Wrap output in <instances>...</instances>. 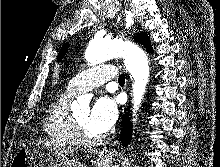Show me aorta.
Instances as JSON below:
<instances>
[{
    "mask_svg": "<svg viewBox=\"0 0 220 167\" xmlns=\"http://www.w3.org/2000/svg\"><path fill=\"white\" fill-rule=\"evenodd\" d=\"M118 57L125 59V66L134 79L133 108L137 112L149 80V61L146 53L130 41L118 38L106 40L98 36L92 38L85 52V59L89 65H96ZM88 102L89 99L86 96H80L71 106L75 109Z\"/></svg>",
    "mask_w": 220,
    "mask_h": 167,
    "instance_id": "aorta-1",
    "label": "aorta"
}]
</instances>
